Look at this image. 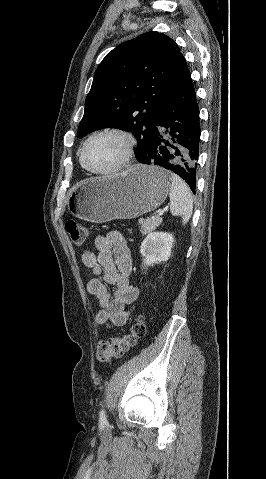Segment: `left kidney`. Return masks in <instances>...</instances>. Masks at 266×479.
Masks as SVG:
<instances>
[{"mask_svg": "<svg viewBox=\"0 0 266 479\" xmlns=\"http://www.w3.org/2000/svg\"><path fill=\"white\" fill-rule=\"evenodd\" d=\"M174 241V236L170 233H149L140 246V253L146 266L167 260L171 255Z\"/></svg>", "mask_w": 266, "mask_h": 479, "instance_id": "1", "label": "left kidney"}]
</instances>
